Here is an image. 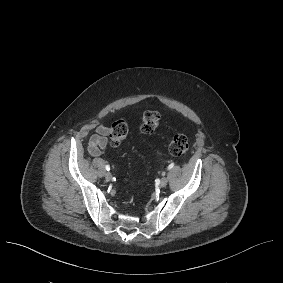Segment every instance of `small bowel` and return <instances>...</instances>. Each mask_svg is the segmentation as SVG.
Wrapping results in <instances>:
<instances>
[{
    "instance_id": "obj_1",
    "label": "small bowel",
    "mask_w": 283,
    "mask_h": 283,
    "mask_svg": "<svg viewBox=\"0 0 283 283\" xmlns=\"http://www.w3.org/2000/svg\"><path fill=\"white\" fill-rule=\"evenodd\" d=\"M109 133L110 129L106 125H98L96 133L89 140L88 151L91 156L97 157L103 150L108 148L109 143L107 137Z\"/></svg>"
}]
</instances>
